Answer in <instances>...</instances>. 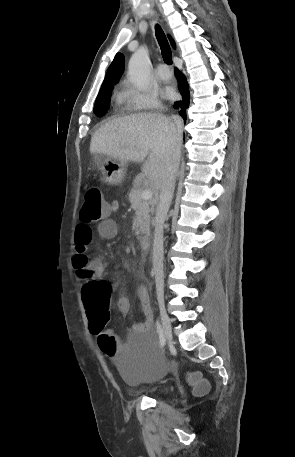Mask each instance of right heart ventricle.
<instances>
[{
    "instance_id": "right-heart-ventricle-1",
    "label": "right heart ventricle",
    "mask_w": 295,
    "mask_h": 457,
    "mask_svg": "<svg viewBox=\"0 0 295 457\" xmlns=\"http://www.w3.org/2000/svg\"><path fill=\"white\" fill-rule=\"evenodd\" d=\"M117 100H118V103L121 104L122 101H123V96H122V95H119L118 98H117Z\"/></svg>"
}]
</instances>
